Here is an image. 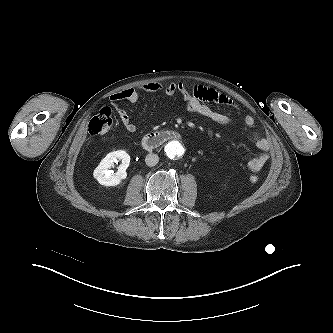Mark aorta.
<instances>
[{"label": "aorta", "mask_w": 333, "mask_h": 333, "mask_svg": "<svg viewBox=\"0 0 333 333\" xmlns=\"http://www.w3.org/2000/svg\"><path fill=\"white\" fill-rule=\"evenodd\" d=\"M165 152L171 159L180 158L184 154V147L179 141H171L166 145Z\"/></svg>", "instance_id": "762f6f07"}]
</instances>
